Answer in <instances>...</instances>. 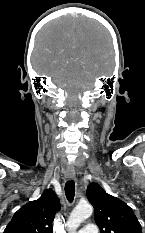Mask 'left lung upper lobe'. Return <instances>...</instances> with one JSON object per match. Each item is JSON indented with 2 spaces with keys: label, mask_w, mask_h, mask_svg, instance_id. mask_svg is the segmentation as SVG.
<instances>
[{
  "label": "left lung upper lobe",
  "mask_w": 145,
  "mask_h": 233,
  "mask_svg": "<svg viewBox=\"0 0 145 233\" xmlns=\"http://www.w3.org/2000/svg\"><path fill=\"white\" fill-rule=\"evenodd\" d=\"M100 233H142L133 210L120 199L107 194L97 183L87 188Z\"/></svg>",
  "instance_id": "obj_1"
}]
</instances>
